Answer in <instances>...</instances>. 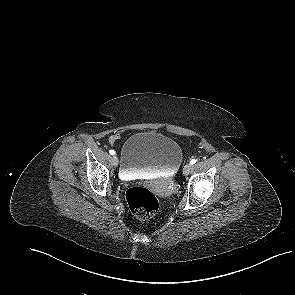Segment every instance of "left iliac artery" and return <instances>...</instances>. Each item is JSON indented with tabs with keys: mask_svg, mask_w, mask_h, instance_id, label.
Here are the masks:
<instances>
[{
	"mask_svg": "<svg viewBox=\"0 0 295 295\" xmlns=\"http://www.w3.org/2000/svg\"><path fill=\"white\" fill-rule=\"evenodd\" d=\"M196 163V159H191L190 164L193 165Z\"/></svg>",
	"mask_w": 295,
	"mask_h": 295,
	"instance_id": "1",
	"label": "left iliac artery"
}]
</instances>
